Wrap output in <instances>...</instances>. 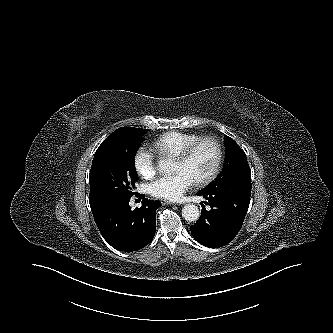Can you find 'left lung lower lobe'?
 Returning a JSON list of instances; mask_svg holds the SVG:
<instances>
[{
  "label": "left lung lower lobe",
  "instance_id": "0a47b994",
  "mask_svg": "<svg viewBox=\"0 0 333 333\" xmlns=\"http://www.w3.org/2000/svg\"><path fill=\"white\" fill-rule=\"evenodd\" d=\"M198 196L206 199L202 204L199 220L190 227L193 237L200 244L218 248L228 244L239 232L246 216L249 202L228 196L216 190H201Z\"/></svg>",
  "mask_w": 333,
  "mask_h": 333
}]
</instances>
